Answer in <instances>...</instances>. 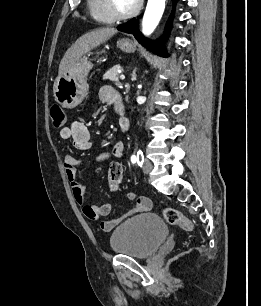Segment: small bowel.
<instances>
[{
    "label": "small bowel",
    "instance_id": "obj_1",
    "mask_svg": "<svg viewBox=\"0 0 261 306\" xmlns=\"http://www.w3.org/2000/svg\"><path fill=\"white\" fill-rule=\"evenodd\" d=\"M99 98L102 102L113 105L116 110L122 115L123 104L121 96L117 90L110 86H104L99 92ZM120 127L123 131L128 129V121L125 117L120 118ZM60 137L63 140L71 139L73 146L78 150H87L91 147V132L88 127L80 122L75 121L69 127H65L60 131ZM124 152V144L117 142L110 152H102L98 155L97 161L101 162L108 159L111 156L122 157ZM86 162L84 158L75 157L71 154H67L64 157V169L66 176L71 184V191L73 197L79 204H83V192L84 186L81 183L76 182L77 168ZM129 198L134 200L133 207L122 217L106 220L100 223V228L103 231H111L114 229L125 217L131 216L137 213L148 211L151 208V201L146 197H137L135 194H129ZM112 211V206L109 203L101 205H83L84 215L92 220L98 221L100 218L108 216Z\"/></svg>",
    "mask_w": 261,
    "mask_h": 306
}]
</instances>
